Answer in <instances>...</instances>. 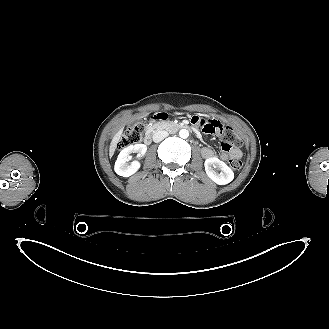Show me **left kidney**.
Wrapping results in <instances>:
<instances>
[{
    "label": "left kidney",
    "mask_w": 329,
    "mask_h": 329,
    "mask_svg": "<svg viewBox=\"0 0 329 329\" xmlns=\"http://www.w3.org/2000/svg\"><path fill=\"white\" fill-rule=\"evenodd\" d=\"M207 176L218 185H225L234 179V173L229 166L216 157H211L205 160L204 163ZM214 168L221 170L216 172Z\"/></svg>",
    "instance_id": "obj_1"
}]
</instances>
